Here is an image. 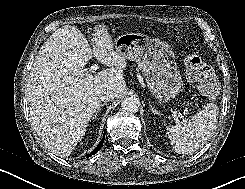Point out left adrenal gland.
<instances>
[{"instance_id":"1","label":"left adrenal gland","mask_w":245,"mask_h":189,"mask_svg":"<svg viewBox=\"0 0 245 189\" xmlns=\"http://www.w3.org/2000/svg\"><path fill=\"white\" fill-rule=\"evenodd\" d=\"M149 106L153 114H158V115L160 114V112H158L150 103H149Z\"/></svg>"}]
</instances>
